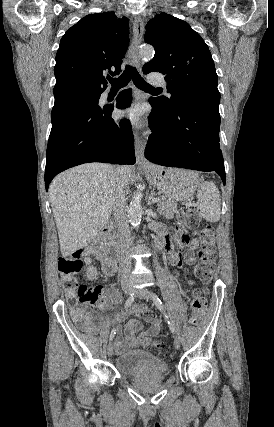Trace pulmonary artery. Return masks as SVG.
Wrapping results in <instances>:
<instances>
[{
    "label": "pulmonary artery",
    "instance_id": "obj_1",
    "mask_svg": "<svg viewBox=\"0 0 274 427\" xmlns=\"http://www.w3.org/2000/svg\"><path fill=\"white\" fill-rule=\"evenodd\" d=\"M148 82L151 85H161L164 82V79L161 76H151L148 79Z\"/></svg>",
    "mask_w": 274,
    "mask_h": 427
}]
</instances>
